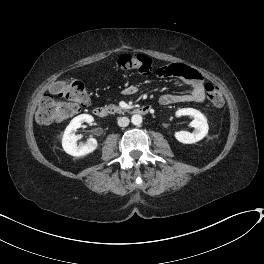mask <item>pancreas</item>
Returning a JSON list of instances; mask_svg holds the SVG:
<instances>
[{"mask_svg":"<svg viewBox=\"0 0 264 264\" xmlns=\"http://www.w3.org/2000/svg\"><path fill=\"white\" fill-rule=\"evenodd\" d=\"M107 109H108V112H109L110 114H115V113H119V114H121V113L124 112V109H122L121 107L116 106V105H114V104H110V105H108Z\"/></svg>","mask_w":264,"mask_h":264,"instance_id":"pancreas-1","label":"pancreas"}]
</instances>
